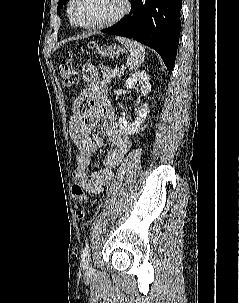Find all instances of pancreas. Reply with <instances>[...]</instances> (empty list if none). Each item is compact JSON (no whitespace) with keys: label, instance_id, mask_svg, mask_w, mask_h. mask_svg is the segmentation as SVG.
<instances>
[{"label":"pancreas","instance_id":"obj_1","mask_svg":"<svg viewBox=\"0 0 239 303\" xmlns=\"http://www.w3.org/2000/svg\"><path fill=\"white\" fill-rule=\"evenodd\" d=\"M102 77L104 82L110 83L115 77L119 76V73L114 72L112 69L106 66H100Z\"/></svg>","mask_w":239,"mask_h":303}]
</instances>
